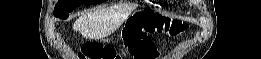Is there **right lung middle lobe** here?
Masks as SVG:
<instances>
[{"instance_id": "dd1d6c3e", "label": "right lung middle lobe", "mask_w": 261, "mask_h": 59, "mask_svg": "<svg viewBox=\"0 0 261 59\" xmlns=\"http://www.w3.org/2000/svg\"><path fill=\"white\" fill-rule=\"evenodd\" d=\"M104 0H59L54 8V15L66 19L74 8L80 5H91L102 3Z\"/></svg>"}]
</instances>
